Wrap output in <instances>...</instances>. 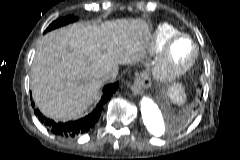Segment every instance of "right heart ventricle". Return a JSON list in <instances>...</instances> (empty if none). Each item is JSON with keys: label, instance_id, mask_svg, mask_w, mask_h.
Segmentation results:
<instances>
[{"label": "right heart ventricle", "instance_id": "obj_1", "mask_svg": "<svg viewBox=\"0 0 240 160\" xmlns=\"http://www.w3.org/2000/svg\"><path fill=\"white\" fill-rule=\"evenodd\" d=\"M178 33L179 30L169 23H161L157 25L148 39L147 53L150 56L159 54L165 44Z\"/></svg>", "mask_w": 240, "mask_h": 160}]
</instances>
